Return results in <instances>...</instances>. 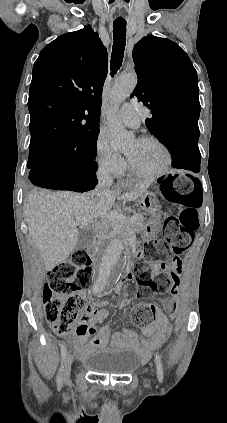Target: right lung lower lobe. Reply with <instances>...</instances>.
Listing matches in <instances>:
<instances>
[{
  "label": "right lung lower lobe",
  "mask_w": 227,
  "mask_h": 423,
  "mask_svg": "<svg viewBox=\"0 0 227 423\" xmlns=\"http://www.w3.org/2000/svg\"><path fill=\"white\" fill-rule=\"evenodd\" d=\"M95 161H71L52 157L42 165L30 169L29 180L36 186L85 192L97 184Z\"/></svg>",
  "instance_id": "98d812e1"
}]
</instances>
